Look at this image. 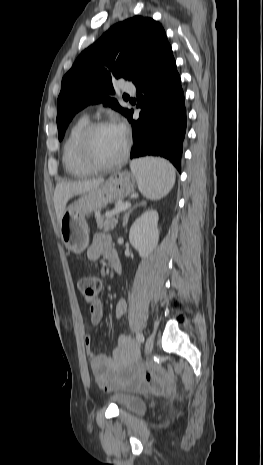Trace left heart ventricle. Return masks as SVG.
I'll use <instances>...</instances> for the list:
<instances>
[{"instance_id": "left-heart-ventricle-1", "label": "left heart ventricle", "mask_w": 263, "mask_h": 465, "mask_svg": "<svg viewBox=\"0 0 263 465\" xmlns=\"http://www.w3.org/2000/svg\"><path fill=\"white\" fill-rule=\"evenodd\" d=\"M125 138L115 126L99 129L92 137L93 157L101 163L116 159L122 152Z\"/></svg>"}]
</instances>
